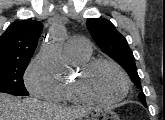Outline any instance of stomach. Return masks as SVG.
Instances as JSON below:
<instances>
[{"mask_svg": "<svg viewBox=\"0 0 165 120\" xmlns=\"http://www.w3.org/2000/svg\"><path fill=\"white\" fill-rule=\"evenodd\" d=\"M80 120H120L119 116L112 111L91 110Z\"/></svg>", "mask_w": 165, "mask_h": 120, "instance_id": "obj_1", "label": "stomach"}]
</instances>
